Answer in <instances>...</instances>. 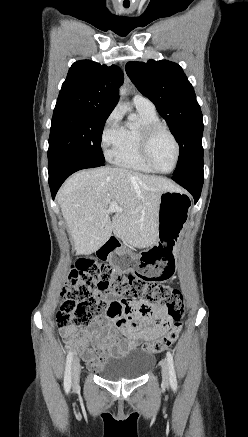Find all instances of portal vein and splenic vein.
<instances>
[{
  "mask_svg": "<svg viewBox=\"0 0 248 437\" xmlns=\"http://www.w3.org/2000/svg\"><path fill=\"white\" fill-rule=\"evenodd\" d=\"M109 212H118L122 211V208H120L115 201L111 203L108 209Z\"/></svg>",
  "mask_w": 248,
  "mask_h": 437,
  "instance_id": "1",
  "label": "portal vein and splenic vein"
}]
</instances>
